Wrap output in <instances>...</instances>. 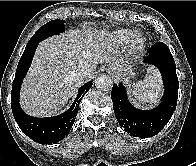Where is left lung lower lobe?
<instances>
[{
    "instance_id": "1",
    "label": "left lung lower lobe",
    "mask_w": 196,
    "mask_h": 166,
    "mask_svg": "<svg viewBox=\"0 0 196 166\" xmlns=\"http://www.w3.org/2000/svg\"><path fill=\"white\" fill-rule=\"evenodd\" d=\"M145 63L156 66L162 75L164 95L158 107L140 110L132 106L122 84L114 85L111 92L115 117L121 127L133 137L147 138L158 134L169 122L178 99L179 82L174 58L163 42L151 48Z\"/></svg>"
}]
</instances>
